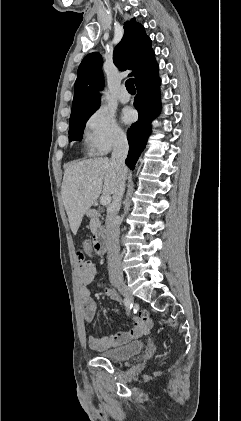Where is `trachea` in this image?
<instances>
[{"label":"trachea","instance_id":"obj_1","mask_svg":"<svg viewBox=\"0 0 241 421\" xmlns=\"http://www.w3.org/2000/svg\"><path fill=\"white\" fill-rule=\"evenodd\" d=\"M125 86H126V89H127L128 92H135L136 91L135 86H134V82H133V78L128 79L125 82Z\"/></svg>","mask_w":241,"mask_h":421}]
</instances>
